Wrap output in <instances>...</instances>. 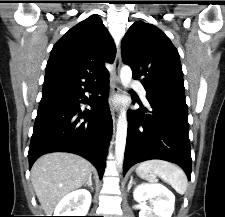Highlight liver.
I'll use <instances>...</instances> for the list:
<instances>
[{"instance_id": "obj_1", "label": "liver", "mask_w": 225, "mask_h": 217, "mask_svg": "<svg viewBox=\"0 0 225 217\" xmlns=\"http://www.w3.org/2000/svg\"><path fill=\"white\" fill-rule=\"evenodd\" d=\"M93 169L88 160L72 153L53 152L38 158L31 181L44 213L51 216L65 195L88 181Z\"/></svg>"}]
</instances>
